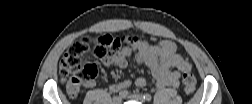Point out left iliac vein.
Masks as SVG:
<instances>
[{"label": "left iliac vein", "instance_id": "left-iliac-vein-1", "mask_svg": "<svg viewBox=\"0 0 252 104\" xmlns=\"http://www.w3.org/2000/svg\"><path fill=\"white\" fill-rule=\"evenodd\" d=\"M130 99H133V100H136V101H139V102H144V98L141 94H138V93H133V94H130L128 96Z\"/></svg>", "mask_w": 252, "mask_h": 104}]
</instances>
